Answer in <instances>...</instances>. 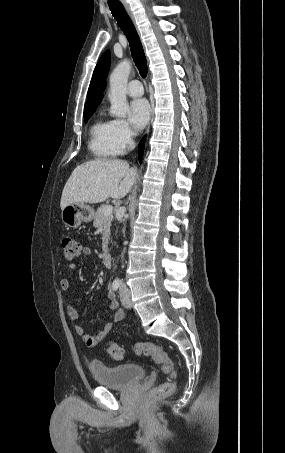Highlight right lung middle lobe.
Wrapping results in <instances>:
<instances>
[{
	"instance_id": "obj_1",
	"label": "right lung middle lobe",
	"mask_w": 285,
	"mask_h": 453,
	"mask_svg": "<svg viewBox=\"0 0 285 453\" xmlns=\"http://www.w3.org/2000/svg\"><path fill=\"white\" fill-rule=\"evenodd\" d=\"M93 112H94V110H93V111L85 112V113L83 114V117H84V119H85V122H87V120L91 117V115H92Z\"/></svg>"
}]
</instances>
